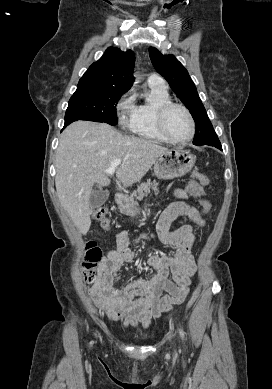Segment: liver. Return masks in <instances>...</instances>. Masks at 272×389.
Segmentation results:
<instances>
[{"instance_id": "obj_1", "label": "liver", "mask_w": 272, "mask_h": 389, "mask_svg": "<svg viewBox=\"0 0 272 389\" xmlns=\"http://www.w3.org/2000/svg\"><path fill=\"white\" fill-rule=\"evenodd\" d=\"M168 148L154 141L125 136L105 123L76 121L62 133L56 151L58 199L79 232L90 228V196L94 185L108 186L104 172L115 159L122 162L116 177L124 187L139 182ZM118 189L122 186L118 184Z\"/></svg>"}]
</instances>
